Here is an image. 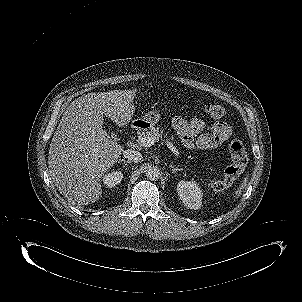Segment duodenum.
Listing matches in <instances>:
<instances>
[{
  "mask_svg": "<svg viewBox=\"0 0 302 302\" xmlns=\"http://www.w3.org/2000/svg\"><path fill=\"white\" fill-rule=\"evenodd\" d=\"M142 127H143V122H141V121H135L131 125V129L134 131H139L142 129Z\"/></svg>",
  "mask_w": 302,
  "mask_h": 302,
  "instance_id": "1",
  "label": "duodenum"
}]
</instances>
